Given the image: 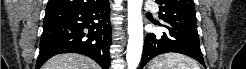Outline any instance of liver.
Listing matches in <instances>:
<instances>
[{
  "label": "liver",
  "mask_w": 246,
  "mask_h": 69,
  "mask_svg": "<svg viewBox=\"0 0 246 69\" xmlns=\"http://www.w3.org/2000/svg\"><path fill=\"white\" fill-rule=\"evenodd\" d=\"M42 69H100L92 59L83 55L60 54L49 59Z\"/></svg>",
  "instance_id": "1"
}]
</instances>
